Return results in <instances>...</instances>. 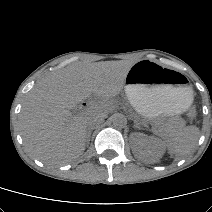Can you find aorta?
Segmentation results:
<instances>
[{"instance_id": "1", "label": "aorta", "mask_w": 212, "mask_h": 212, "mask_svg": "<svg viewBox=\"0 0 212 212\" xmlns=\"http://www.w3.org/2000/svg\"><path fill=\"white\" fill-rule=\"evenodd\" d=\"M112 122H113L114 127L123 128L127 124V119L122 114H116L113 116Z\"/></svg>"}]
</instances>
